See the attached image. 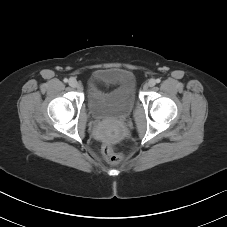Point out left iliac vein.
I'll return each instance as SVG.
<instances>
[{
	"instance_id": "obj_1",
	"label": "left iliac vein",
	"mask_w": 227,
	"mask_h": 227,
	"mask_svg": "<svg viewBox=\"0 0 227 227\" xmlns=\"http://www.w3.org/2000/svg\"><path fill=\"white\" fill-rule=\"evenodd\" d=\"M155 84H156V80H155V79H150V80L148 81V86H149V87H153V86H155Z\"/></svg>"
}]
</instances>
